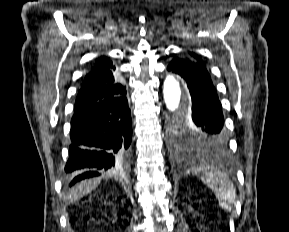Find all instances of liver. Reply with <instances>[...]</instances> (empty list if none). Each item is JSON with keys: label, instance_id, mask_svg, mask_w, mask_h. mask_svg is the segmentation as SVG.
Wrapping results in <instances>:
<instances>
[{"label": "liver", "instance_id": "liver-1", "mask_svg": "<svg viewBox=\"0 0 289 232\" xmlns=\"http://www.w3.org/2000/svg\"><path fill=\"white\" fill-rule=\"evenodd\" d=\"M100 178H94V179H88L84 180L78 184H76L74 187L71 188V190L68 193V201L73 202L84 195H87L94 189H96L100 183Z\"/></svg>", "mask_w": 289, "mask_h": 232}]
</instances>
